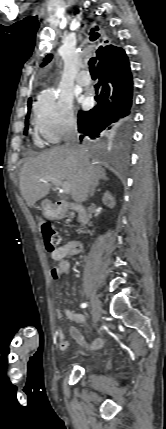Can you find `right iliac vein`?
Wrapping results in <instances>:
<instances>
[{"label":"right iliac vein","instance_id":"1","mask_svg":"<svg viewBox=\"0 0 166 429\" xmlns=\"http://www.w3.org/2000/svg\"><path fill=\"white\" fill-rule=\"evenodd\" d=\"M91 307H92L93 326H96L97 322L100 320L101 307L95 295H92L91 297Z\"/></svg>","mask_w":166,"mask_h":429}]
</instances>
